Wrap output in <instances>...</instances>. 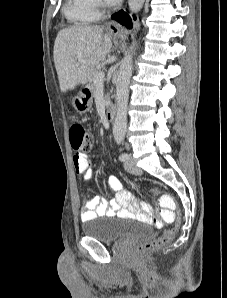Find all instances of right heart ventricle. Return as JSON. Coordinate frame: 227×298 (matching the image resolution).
I'll return each mask as SVG.
<instances>
[{
    "label": "right heart ventricle",
    "instance_id": "right-heart-ventricle-1",
    "mask_svg": "<svg viewBox=\"0 0 227 298\" xmlns=\"http://www.w3.org/2000/svg\"><path fill=\"white\" fill-rule=\"evenodd\" d=\"M62 11L73 24H88L98 18V12L91 0H66Z\"/></svg>",
    "mask_w": 227,
    "mask_h": 298
}]
</instances>
